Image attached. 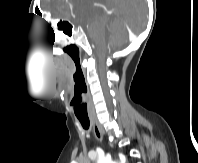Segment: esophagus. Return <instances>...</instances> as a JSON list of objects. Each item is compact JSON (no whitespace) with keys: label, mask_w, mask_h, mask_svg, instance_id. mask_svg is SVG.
<instances>
[{"label":"esophagus","mask_w":198,"mask_h":163,"mask_svg":"<svg viewBox=\"0 0 198 163\" xmlns=\"http://www.w3.org/2000/svg\"><path fill=\"white\" fill-rule=\"evenodd\" d=\"M91 122H92L93 132H94V135H95L96 139L99 142H102V140H103V132H102V129H101L98 121L95 118H91Z\"/></svg>","instance_id":"1"}]
</instances>
